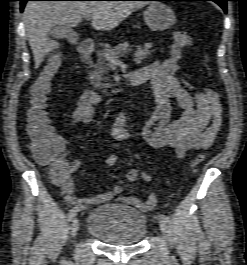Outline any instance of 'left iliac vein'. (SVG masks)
Wrapping results in <instances>:
<instances>
[{
    "mask_svg": "<svg viewBox=\"0 0 247 265\" xmlns=\"http://www.w3.org/2000/svg\"><path fill=\"white\" fill-rule=\"evenodd\" d=\"M159 226H160V230L163 233V235L166 236L167 234V223L166 221L162 220L161 218L159 219Z\"/></svg>",
    "mask_w": 247,
    "mask_h": 265,
    "instance_id": "left-iliac-vein-1",
    "label": "left iliac vein"
}]
</instances>
